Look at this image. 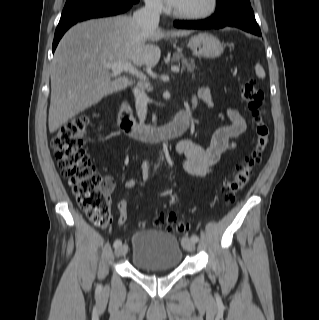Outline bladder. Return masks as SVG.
Wrapping results in <instances>:
<instances>
[{
  "label": "bladder",
  "instance_id": "obj_1",
  "mask_svg": "<svg viewBox=\"0 0 319 320\" xmlns=\"http://www.w3.org/2000/svg\"><path fill=\"white\" fill-rule=\"evenodd\" d=\"M131 264L138 271H170L183 260L180 240L172 233L159 229H146L131 237Z\"/></svg>",
  "mask_w": 319,
  "mask_h": 320
}]
</instances>
